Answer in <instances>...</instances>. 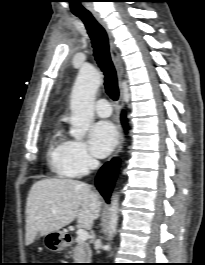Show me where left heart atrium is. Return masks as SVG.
Wrapping results in <instances>:
<instances>
[{"label": "left heart atrium", "instance_id": "39dd6f15", "mask_svg": "<svg viewBox=\"0 0 205 265\" xmlns=\"http://www.w3.org/2000/svg\"><path fill=\"white\" fill-rule=\"evenodd\" d=\"M118 133L109 121H100L93 125L90 133V145L94 155L107 156L116 146Z\"/></svg>", "mask_w": 205, "mask_h": 265}]
</instances>
